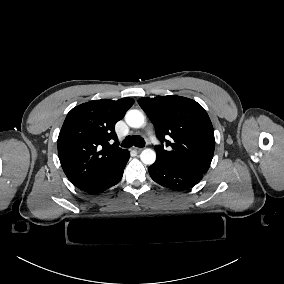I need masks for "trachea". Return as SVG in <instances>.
<instances>
[{"label": "trachea", "mask_w": 284, "mask_h": 284, "mask_svg": "<svg viewBox=\"0 0 284 284\" xmlns=\"http://www.w3.org/2000/svg\"><path fill=\"white\" fill-rule=\"evenodd\" d=\"M133 145L135 147H144L145 141L141 136H127L121 144L122 147H131Z\"/></svg>", "instance_id": "1"}]
</instances>
